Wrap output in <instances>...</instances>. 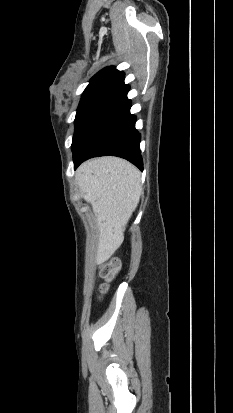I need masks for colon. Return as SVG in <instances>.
<instances>
[{
	"instance_id": "1",
	"label": "colon",
	"mask_w": 233,
	"mask_h": 413,
	"mask_svg": "<svg viewBox=\"0 0 233 413\" xmlns=\"http://www.w3.org/2000/svg\"><path fill=\"white\" fill-rule=\"evenodd\" d=\"M120 268L119 261L116 259L110 260L101 266L100 274L104 279V283L101 285V292H106L109 287V283L116 277Z\"/></svg>"
}]
</instances>
